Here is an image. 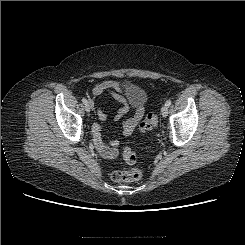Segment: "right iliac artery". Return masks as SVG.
I'll list each match as a JSON object with an SVG mask.
<instances>
[{
    "label": "right iliac artery",
    "instance_id": "right-iliac-artery-1",
    "mask_svg": "<svg viewBox=\"0 0 245 245\" xmlns=\"http://www.w3.org/2000/svg\"><path fill=\"white\" fill-rule=\"evenodd\" d=\"M82 102H83V104H85V105H87L88 104V101H87V99L86 98H82Z\"/></svg>",
    "mask_w": 245,
    "mask_h": 245
}]
</instances>
